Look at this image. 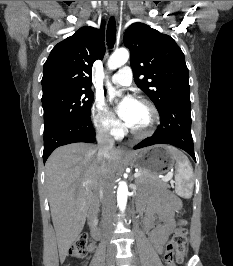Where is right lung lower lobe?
<instances>
[{"label": "right lung lower lobe", "mask_w": 233, "mask_h": 266, "mask_svg": "<svg viewBox=\"0 0 233 266\" xmlns=\"http://www.w3.org/2000/svg\"><path fill=\"white\" fill-rule=\"evenodd\" d=\"M95 141V130L90 118L69 121L44 131L43 161L45 162L54 149L59 146Z\"/></svg>", "instance_id": "98d812e1"}]
</instances>
